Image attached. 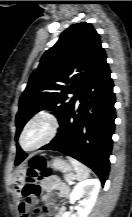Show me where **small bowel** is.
I'll return each instance as SVG.
<instances>
[{
  "instance_id": "obj_1",
  "label": "small bowel",
  "mask_w": 132,
  "mask_h": 217,
  "mask_svg": "<svg viewBox=\"0 0 132 217\" xmlns=\"http://www.w3.org/2000/svg\"><path fill=\"white\" fill-rule=\"evenodd\" d=\"M42 189L47 192L46 195L43 197V201L45 202V211L48 214H55V217H61L59 213V209L50 197L49 193L56 191L62 197H69L70 195V188L67 184L62 182V180L56 175H50L45 177L41 181ZM32 204V200H26L20 203L19 211L22 217H30L29 210Z\"/></svg>"
}]
</instances>
